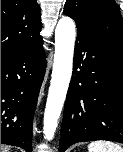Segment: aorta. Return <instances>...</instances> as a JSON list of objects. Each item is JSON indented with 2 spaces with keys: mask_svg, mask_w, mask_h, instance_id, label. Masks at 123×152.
I'll return each instance as SVG.
<instances>
[{
  "mask_svg": "<svg viewBox=\"0 0 123 152\" xmlns=\"http://www.w3.org/2000/svg\"><path fill=\"white\" fill-rule=\"evenodd\" d=\"M75 39L74 21L69 17H62L55 29L53 71L43 120V132L47 140L54 136L66 99L72 75Z\"/></svg>",
  "mask_w": 123,
  "mask_h": 152,
  "instance_id": "762f6f07",
  "label": "aorta"
}]
</instances>
